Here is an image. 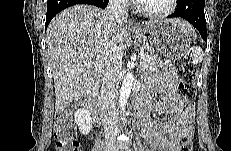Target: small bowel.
Here are the masks:
<instances>
[{
    "instance_id": "obj_1",
    "label": "small bowel",
    "mask_w": 231,
    "mask_h": 151,
    "mask_svg": "<svg viewBox=\"0 0 231 151\" xmlns=\"http://www.w3.org/2000/svg\"><path fill=\"white\" fill-rule=\"evenodd\" d=\"M177 77L169 71L162 75L147 91L143 104L142 133L154 151H178L182 139H192L194 135V110L176 92ZM163 94L160 101H154L156 92ZM151 112H159L166 117L157 119Z\"/></svg>"
}]
</instances>
